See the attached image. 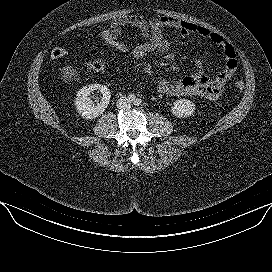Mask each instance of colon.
<instances>
[{"mask_svg":"<svg viewBox=\"0 0 272 272\" xmlns=\"http://www.w3.org/2000/svg\"><path fill=\"white\" fill-rule=\"evenodd\" d=\"M100 40L105 45L119 51L126 53L132 56H141L146 53V48H144L140 43L133 44L129 42L123 35L111 32L107 29L103 30L100 35ZM67 54V51L62 47H55L51 51L52 59L63 58ZM88 71L93 73H102L104 72L106 65L103 60H92L86 64ZM237 90L242 91L244 89V83L242 81H237L235 83Z\"/></svg>","mask_w":272,"mask_h":272,"instance_id":"colon-1","label":"colon"}]
</instances>
